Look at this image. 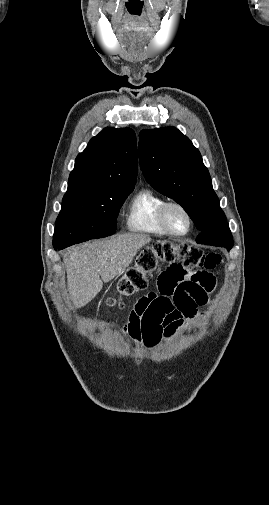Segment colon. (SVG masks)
Listing matches in <instances>:
<instances>
[{"label":"colon","mask_w":269,"mask_h":505,"mask_svg":"<svg viewBox=\"0 0 269 505\" xmlns=\"http://www.w3.org/2000/svg\"><path fill=\"white\" fill-rule=\"evenodd\" d=\"M172 260L181 262V267L188 273H193L195 268H211L214 270L221 262V256L216 252H204L202 249L188 245L155 244L140 252L136 264L130 267L121 278L118 290L122 296H130L147 287V277L163 262ZM168 268H171L170 265ZM158 283V282H157ZM148 298V295L147 297ZM111 307H120L119 298H110ZM139 307H142L139 306Z\"/></svg>","instance_id":"1"}]
</instances>
